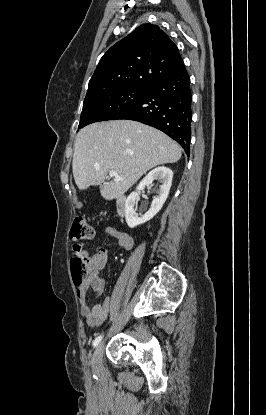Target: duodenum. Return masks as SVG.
I'll use <instances>...</instances> for the list:
<instances>
[{
  "instance_id": "1",
  "label": "duodenum",
  "mask_w": 266,
  "mask_h": 415,
  "mask_svg": "<svg viewBox=\"0 0 266 415\" xmlns=\"http://www.w3.org/2000/svg\"><path fill=\"white\" fill-rule=\"evenodd\" d=\"M126 208V198L124 196H120L116 201V210L120 216H124Z\"/></svg>"
}]
</instances>
